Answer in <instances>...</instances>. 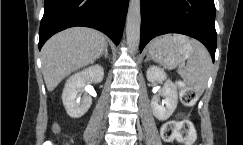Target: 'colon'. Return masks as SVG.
Instances as JSON below:
<instances>
[{
    "label": "colon",
    "mask_w": 243,
    "mask_h": 145,
    "mask_svg": "<svg viewBox=\"0 0 243 145\" xmlns=\"http://www.w3.org/2000/svg\"><path fill=\"white\" fill-rule=\"evenodd\" d=\"M179 88L181 103L187 107L193 106L197 100L195 90L184 83H179ZM161 137L165 141L178 140L185 145H193L196 132L190 121H168L161 128Z\"/></svg>",
    "instance_id": "colon-1"
}]
</instances>
